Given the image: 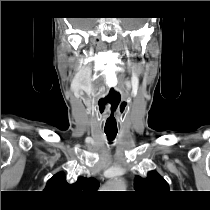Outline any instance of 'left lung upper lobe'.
Returning <instances> with one entry per match:
<instances>
[{
	"mask_svg": "<svg viewBox=\"0 0 210 210\" xmlns=\"http://www.w3.org/2000/svg\"><path fill=\"white\" fill-rule=\"evenodd\" d=\"M135 189L142 193H159L169 190V186L156 171H151L146 178L135 176Z\"/></svg>",
	"mask_w": 210,
	"mask_h": 210,
	"instance_id": "obj_1",
	"label": "left lung upper lobe"
}]
</instances>
